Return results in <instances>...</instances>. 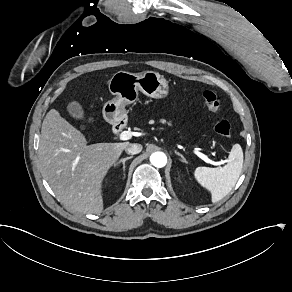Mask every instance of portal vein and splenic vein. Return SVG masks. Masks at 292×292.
Returning a JSON list of instances; mask_svg holds the SVG:
<instances>
[{
    "mask_svg": "<svg viewBox=\"0 0 292 292\" xmlns=\"http://www.w3.org/2000/svg\"><path fill=\"white\" fill-rule=\"evenodd\" d=\"M131 136H132L131 131H123L119 135V140H121V141L129 140L131 138ZM199 156L201 157V159L205 163L214 165V166H216L218 168H220L221 164L223 163V161H221V162L213 161V160L209 159L206 155H203V154H199Z\"/></svg>",
    "mask_w": 292,
    "mask_h": 292,
    "instance_id": "18ae733b",
    "label": "portal vein and splenic vein"
}]
</instances>
